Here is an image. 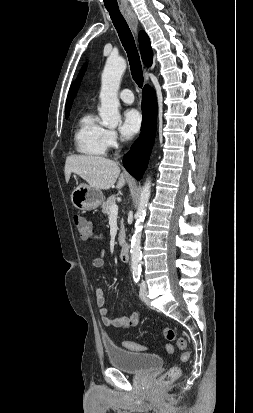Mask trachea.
<instances>
[{
	"instance_id": "3493384b",
	"label": "trachea",
	"mask_w": 253,
	"mask_h": 413,
	"mask_svg": "<svg viewBox=\"0 0 253 413\" xmlns=\"http://www.w3.org/2000/svg\"><path fill=\"white\" fill-rule=\"evenodd\" d=\"M108 12L117 30L121 43L127 52L132 78L141 88L144 81L142 66L131 30L119 10H108Z\"/></svg>"
}]
</instances>
